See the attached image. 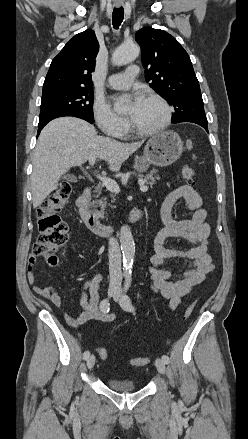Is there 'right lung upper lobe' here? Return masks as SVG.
I'll use <instances>...</instances> for the list:
<instances>
[{"label":"right lung upper lobe","mask_w":248,"mask_h":439,"mask_svg":"<svg viewBox=\"0 0 248 439\" xmlns=\"http://www.w3.org/2000/svg\"><path fill=\"white\" fill-rule=\"evenodd\" d=\"M99 44L93 30L75 35L52 60L43 84V95L57 91L92 88L91 72Z\"/></svg>","instance_id":"cb5924a9"}]
</instances>
